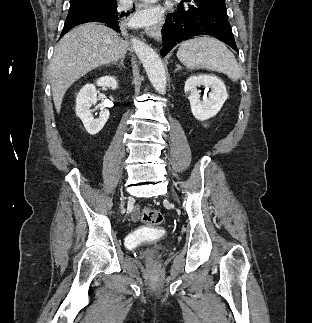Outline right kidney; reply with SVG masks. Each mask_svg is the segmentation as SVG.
Wrapping results in <instances>:
<instances>
[{
    "label": "right kidney",
    "mask_w": 312,
    "mask_h": 323,
    "mask_svg": "<svg viewBox=\"0 0 312 323\" xmlns=\"http://www.w3.org/2000/svg\"><path fill=\"white\" fill-rule=\"evenodd\" d=\"M96 84L102 88H110V90L117 88V80L113 76H103L97 80ZM95 104H97V90L94 84H86L77 94L75 110L78 118L82 120L86 132L91 136H95L102 130L110 116L109 110L101 108L99 118L94 120L93 112L95 110H90V108Z\"/></svg>",
    "instance_id": "1"
}]
</instances>
